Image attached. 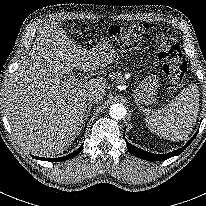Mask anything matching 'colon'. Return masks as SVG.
<instances>
[{
	"label": "colon",
	"instance_id": "5ec220e1",
	"mask_svg": "<svg viewBox=\"0 0 206 206\" xmlns=\"http://www.w3.org/2000/svg\"><path fill=\"white\" fill-rule=\"evenodd\" d=\"M110 34L118 41H128L144 34L150 35L156 41L158 58L162 63L164 74L175 84L182 81L187 69L186 62L182 58L180 47L167 27L156 23H136L125 29L112 28Z\"/></svg>",
	"mask_w": 206,
	"mask_h": 206
}]
</instances>
